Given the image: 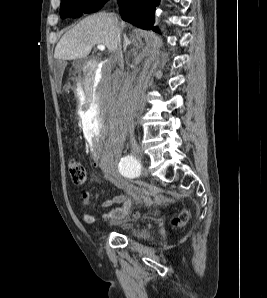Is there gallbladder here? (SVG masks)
Masks as SVG:
<instances>
[{
	"label": "gallbladder",
	"instance_id": "obj_1",
	"mask_svg": "<svg viewBox=\"0 0 267 298\" xmlns=\"http://www.w3.org/2000/svg\"><path fill=\"white\" fill-rule=\"evenodd\" d=\"M56 65L64 66L65 64L63 62L57 61L55 63ZM61 72V69H55V73L59 74Z\"/></svg>",
	"mask_w": 267,
	"mask_h": 298
}]
</instances>
